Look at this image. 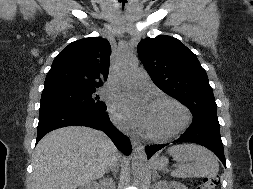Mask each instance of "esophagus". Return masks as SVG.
Masks as SVG:
<instances>
[{
  "label": "esophagus",
  "instance_id": "1",
  "mask_svg": "<svg viewBox=\"0 0 253 189\" xmlns=\"http://www.w3.org/2000/svg\"><path fill=\"white\" fill-rule=\"evenodd\" d=\"M130 141H131V144L134 148L137 147L140 144L139 138L137 136H134V135L130 137Z\"/></svg>",
  "mask_w": 253,
  "mask_h": 189
}]
</instances>
